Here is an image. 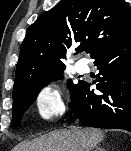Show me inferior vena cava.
Returning <instances> with one entry per match:
<instances>
[{
	"label": "inferior vena cava",
	"mask_w": 131,
	"mask_h": 151,
	"mask_svg": "<svg viewBox=\"0 0 131 151\" xmlns=\"http://www.w3.org/2000/svg\"><path fill=\"white\" fill-rule=\"evenodd\" d=\"M73 131L76 132V133L78 132V130H76V129H74Z\"/></svg>",
	"instance_id": "602c4592"
}]
</instances>
